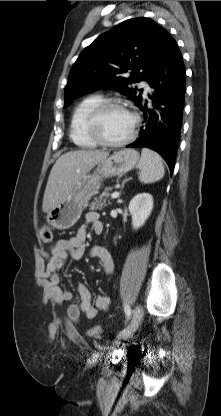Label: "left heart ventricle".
<instances>
[{
	"mask_svg": "<svg viewBox=\"0 0 221 416\" xmlns=\"http://www.w3.org/2000/svg\"><path fill=\"white\" fill-rule=\"evenodd\" d=\"M131 127L132 116L118 107L107 109L100 118V131L110 141L123 140L129 135Z\"/></svg>",
	"mask_w": 221,
	"mask_h": 416,
	"instance_id": "left-heart-ventricle-1",
	"label": "left heart ventricle"
}]
</instances>
